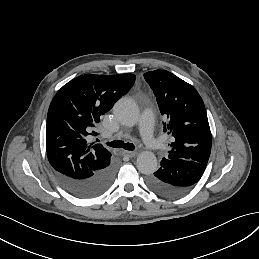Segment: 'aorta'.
<instances>
[{"label": "aorta", "instance_id": "762f6f07", "mask_svg": "<svg viewBox=\"0 0 259 259\" xmlns=\"http://www.w3.org/2000/svg\"><path fill=\"white\" fill-rule=\"evenodd\" d=\"M113 112L117 120L125 126H134L138 122L139 110L134 101L129 98L119 99L113 108ZM158 162L154 153L150 151H142L136 160L137 169L149 175L157 170Z\"/></svg>", "mask_w": 259, "mask_h": 259}]
</instances>
